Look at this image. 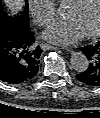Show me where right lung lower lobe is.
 <instances>
[{
    "instance_id": "obj_1",
    "label": "right lung lower lobe",
    "mask_w": 100,
    "mask_h": 118,
    "mask_svg": "<svg viewBox=\"0 0 100 118\" xmlns=\"http://www.w3.org/2000/svg\"><path fill=\"white\" fill-rule=\"evenodd\" d=\"M41 53L29 28L20 34L0 32V80L17 85L31 81L38 72Z\"/></svg>"
}]
</instances>
